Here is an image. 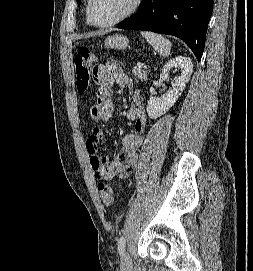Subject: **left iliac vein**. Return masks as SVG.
I'll return each instance as SVG.
<instances>
[{"label":"left iliac vein","instance_id":"1","mask_svg":"<svg viewBox=\"0 0 253 271\" xmlns=\"http://www.w3.org/2000/svg\"><path fill=\"white\" fill-rule=\"evenodd\" d=\"M121 265L124 269H131L132 267V260L127 252L123 253L122 255Z\"/></svg>","mask_w":253,"mask_h":271}]
</instances>
